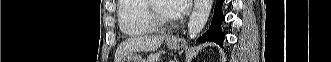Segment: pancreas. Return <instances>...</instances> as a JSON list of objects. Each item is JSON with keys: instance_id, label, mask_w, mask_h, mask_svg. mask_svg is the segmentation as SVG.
I'll return each instance as SVG.
<instances>
[{"instance_id": "pancreas-1", "label": "pancreas", "mask_w": 331, "mask_h": 62, "mask_svg": "<svg viewBox=\"0 0 331 62\" xmlns=\"http://www.w3.org/2000/svg\"><path fill=\"white\" fill-rule=\"evenodd\" d=\"M159 58H160L159 54H154V55L149 56L147 62H158Z\"/></svg>"}]
</instances>
